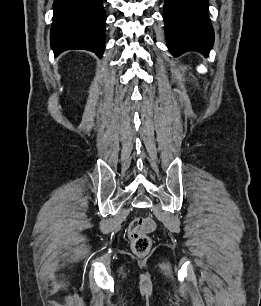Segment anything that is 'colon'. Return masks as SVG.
I'll use <instances>...</instances> for the list:
<instances>
[{
    "mask_svg": "<svg viewBox=\"0 0 261 306\" xmlns=\"http://www.w3.org/2000/svg\"><path fill=\"white\" fill-rule=\"evenodd\" d=\"M155 229V222L150 217L135 218L129 225L128 238L132 251L143 256L151 248V239L149 233Z\"/></svg>",
    "mask_w": 261,
    "mask_h": 306,
    "instance_id": "1",
    "label": "colon"
}]
</instances>
